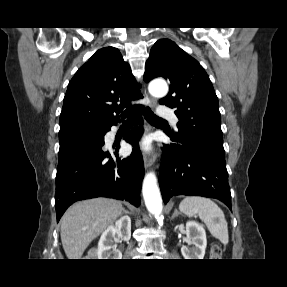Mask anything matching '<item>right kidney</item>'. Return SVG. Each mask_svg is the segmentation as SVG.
Returning a JSON list of instances; mask_svg holds the SVG:
<instances>
[{
    "label": "right kidney",
    "mask_w": 287,
    "mask_h": 287,
    "mask_svg": "<svg viewBox=\"0 0 287 287\" xmlns=\"http://www.w3.org/2000/svg\"><path fill=\"white\" fill-rule=\"evenodd\" d=\"M121 237L128 241L131 237V219L129 216H123L110 225L101 235L97 255L98 259H122V253L116 249L114 244L115 237Z\"/></svg>",
    "instance_id": "obj_1"
}]
</instances>
